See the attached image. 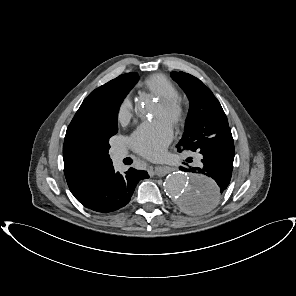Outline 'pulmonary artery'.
<instances>
[{
    "mask_svg": "<svg viewBox=\"0 0 296 296\" xmlns=\"http://www.w3.org/2000/svg\"><path fill=\"white\" fill-rule=\"evenodd\" d=\"M126 155V152L123 149H116L113 152V159L116 163H119Z\"/></svg>",
    "mask_w": 296,
    "mask_h": 296,
    "instance_id": "obj_1",
    "label": "pulmonary artery"
}]
</instances>
